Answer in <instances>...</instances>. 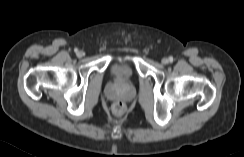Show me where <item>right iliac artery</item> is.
Returning a JSON list of instances; mask_svg holds the SVG:
<instances>
[{"label":"right iliac artery","mask_w":244,"mask_h":157,"mask_svg":"<svg viewBox=\"0 0 244 157\" xmlns=\"http://www.w3.org/2000/svg\"><path fill=\"white\" fill-rule=\"evenodd\" d=\"M74 51H75V53H78V49L77 48H75Z\"/></svg>","instance_id":"right-iliac-artery-1"}]
</instances>
